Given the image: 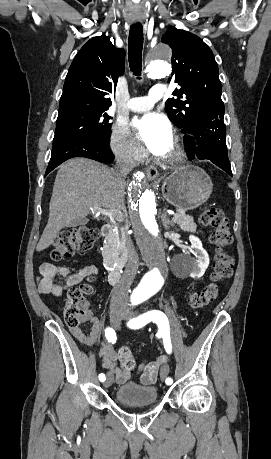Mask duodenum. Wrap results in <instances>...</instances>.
<instances>
[{
    "label": "duodenum",
    "instance_id": "410a0bca",
    "mask_svg": "<svg viewBox=\"0 0 271 459\" xmlns=\"http://www.w3.org/2000/svg\"><path fill=\"white\" fill-rule=\"evenodd\" d=\"M100 234L102 238L104 239L110 238L113 234V227L110 224L103 225L100 229ZM120 279H121V272L119 269H112L109 272V281L111 284L115 285L119 283Z\"/></svg>",
    "mask_w": 271,
    "mask_h": 459
}]
</instances>
